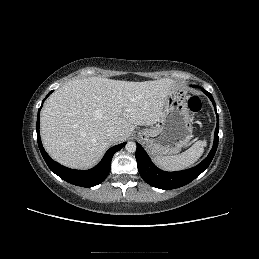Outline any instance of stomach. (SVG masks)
I'll return each instance as SVG.
<instances>
[{
	"mask_svg": "<svg viewBox=\"0 0 259 259\" xmlns=\"http://www.w3.org/2000/svg\"><path fill=\"white\" fill-rule=\"evenodd\" d=\"M193 127L183 87L174 82L155 126L138 132L150 155L166 156L178 153L192 138Z\"/></svg>",
	"mask_w": 259,
	"mask_h": 259,
	"instance_id": "1",
	"label": "stomach"
}]
</instances>
